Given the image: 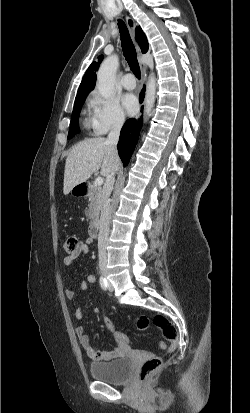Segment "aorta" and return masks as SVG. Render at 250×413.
Wrapping results in <instances>:
<instances>
[{
  "label": "aorta",
  "instance_id": "aorta-1",
  "mask_svg": "<svg viewBox=\"0 0 250 413\" xmlns=\"http://www.w3.org/2000/svg\"><path fill=\"white\" fill-rule=\"evenodd\" d=\"M119 65V59L116 55L107 57L100 65L97 73V87L104 98H109L115 87V75ZM156 94V81L150 76L145 95L144 115L148 117L153 108Z\"/></svg>",
  "mask_w": 250,
  "mask_h": 413
}]
</instances>
